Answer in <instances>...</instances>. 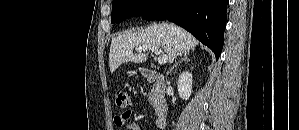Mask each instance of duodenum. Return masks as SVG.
I'll return each mask as SVG.
<instances>
[{
  "label": "duodenum",
  "instance_id": "410a0bca",
  "mask_svg": "<svg viewBox=\"0 0 299 130\" xmlns=\"http://www.w3.org/2000/svg\"><path fill=\"white\" fill-rule=\"evenodd\" d=\"M142 76L153 85L152 96L156 114V123L159 127H164L168 115L169 104L166 100V84L163 77L149 69H141Z\"/></svg>",
  "mask_w": 299,
  "mask_h": 130
}]
</instances>
